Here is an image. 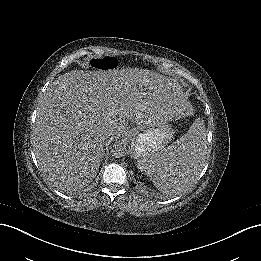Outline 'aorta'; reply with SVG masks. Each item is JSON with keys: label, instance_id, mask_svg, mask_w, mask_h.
Wrapping results in <instances>:
<instances>
[{"label": "aorta", "instance_id": "1", "mask_svg": "<svg viewBox=\"0 0 261 261\" xmlns=\"http://www.w3.org/2000/svg\"><path fill=\"white\" fill-rule=\"evenodd\" d=\"M124 155V148L122 145H115L114 149L112 150V156L116 158H120Z\"/></svg>", "mask_w": 261, "mask_h": 261}]
</instances>
